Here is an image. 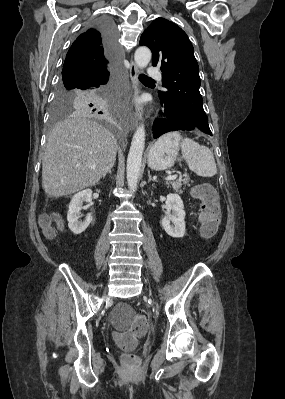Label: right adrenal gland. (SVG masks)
Returning <instances> with one entry per match:
<instances>
[{
  "label": "right adrenal gland",
  "mask_w": 285,
  "mask_h": 399,
  "mask_svg": "<svg viewBox=\"0 0 285 399\" xmlns=\"http://www.w3.org/2000/svg\"><path fill=\"white\" fill-rule=\"evenodd\" d=\"M111 169H112V167H111V168H109V169H108V171H107V173H109L110 175L112 174V171H111Z\"/></svg>",
  "instance_id": "2a0ac1e0"
}]
</instances>
